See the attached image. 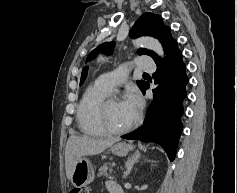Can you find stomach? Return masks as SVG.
I'll use <instances>...</instances> for the list:
<instances>
[{
  "label": "stomach",
  "instance_id": "1",
  "mask_svg": "<svg viewBox=\"0 0 237 193\" xmlns=\"http://www.w3.org/2000/svg\"><path fill=\"white\" fill-rule=\"evenodd\" d=\"M133 145L124 142H117L110 148L111 152L117 156L124 157L131 150ZM94 168L91 162L87 159L81 158L75 163L71 182L76 187H83L90 184L94 179Z\"/></svg>",
  "mask_w": 237,
  "mask_h": 193
}]
</instances>
